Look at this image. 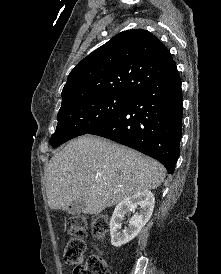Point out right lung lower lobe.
Returning a JSON list of instances; mask_svg holds the SVG:
<instances>
[{"label": "right lung lower lobe", "instance_id": "right-lung-lower-lobe-1", "mask_svg": "<svg viewBox=\"0 0 221 274\" xmlns=\"http://www.w3.org/2000/svg\"><path fill=\"white\" fill-rule=\"evenodd\" d=\"M182 105L181 79L175 66L138 91L109 121L89 134L153 157L172 174L180 153Z\"/></svg>", "mask_w": 221, "mask_h": 274}]
</instances>
